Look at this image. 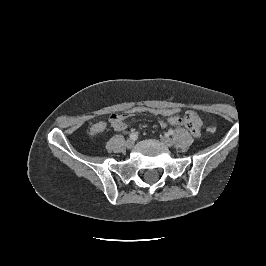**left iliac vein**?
I'll use <instances>...</instances> for the list:
<instances>
[{"label":"left iliac vein","instance_id":"obj_1","mask_svg":"<svg viewBox=\"0 0 266 266\" xmlns=\"http://www.w3.org/2000/svg\"><path fill=\"white\" fill-rule=\"evenodd\" d=\"M161 141L163 144H165L167 147H172L174 145V141L172 138L168 136H162Z\"/></svg>","mask_w":266,"mask_h":266}]
</instances>
